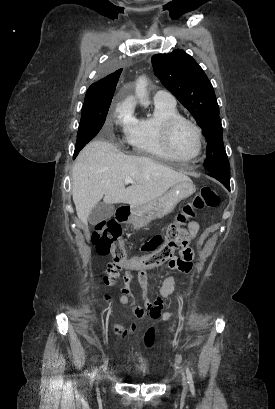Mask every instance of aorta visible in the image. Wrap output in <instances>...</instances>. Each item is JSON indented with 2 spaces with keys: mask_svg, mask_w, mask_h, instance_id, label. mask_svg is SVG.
Returning <instances> with one entry per match:
<instances>
[{
  "mask_svg": "<svg viewBox=\"0 0 275 409\" xmlns=\"http://www.w3.org/2000/svg\"><path fill=\"white\" fill-rule=\"evenodd\" d=\"M147 78L146 76H139L136 80L135 86V94L137 98H139V102L141 106H149L150 100H148V92H147Z\"/></svg>",
  "mask_w": 275,
  "mask_h": 409,
  "instance_id": "aorta-1",
  "label": "aorta"
}]
</instances>
